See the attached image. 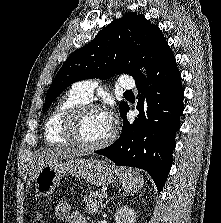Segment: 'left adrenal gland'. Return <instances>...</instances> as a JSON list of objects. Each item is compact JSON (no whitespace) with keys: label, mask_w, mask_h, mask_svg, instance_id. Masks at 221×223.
Here are the masks:
<instances>
[{"label":"left adrenal gland","mask_w":221,"mask_h":223,"mask_svg":"<svg viewBox=\"0 0 221 223\" xmlns=\"http://www.w3.org/2000/svg\"><path fill=\"white\" fill-rule=\"evenodd\" d=\"M114 198H115V197L113 196V197H111L110 199H114ZM110 199H108V200L106 201V203L102 206L100 212L103 210V208H105V206L108 204V202L110 201Z\"/></svg>","instance_id":"a2214340"}]
</instances>
